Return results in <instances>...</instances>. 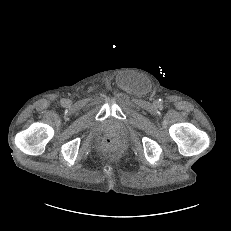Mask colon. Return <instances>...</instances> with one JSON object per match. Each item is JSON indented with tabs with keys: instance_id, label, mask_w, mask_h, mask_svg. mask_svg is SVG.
<instances>
[{
	"instance_id": "5ec220e1",
	"label": "colon",
	"mask_w": 231,
	"mask_h": 231,
	"mask_svg": "<svg viewBox=\"0 0 231 231\" xmlns=\"http://www.w3.org/2000/svg\"><path fill=\"white\" fill-rule=\"evenodd\" d=\"M117 145L114 139L112 138H105L102 142V149L105 152L112 153L116 150Z\"/></svg>"
}]
</instances>
